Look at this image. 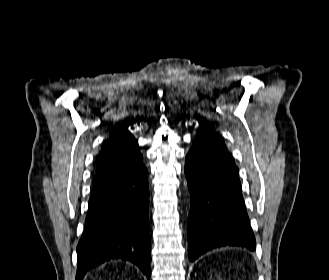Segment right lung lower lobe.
Returning a JSON list of instances; mask_svg holds the SVG:
<instances>
[{
	"mask_svg": "<svg viewBox=\"0 0 329 280\" xmlns=\"http://www.w3.org/2000/svg\"><path fill=\"white\" fill-rule=\"evenodd\" d=\"M149 183L142 164L96 174L84 233L77 246L76 280L111 259L128 260L150 278Z\"/></svg>",
	"mask_w": 329,
	"mask_h": 280,
	"instance_id": "1",
	"label": "right lung lower lobe"
}]
</instances>
